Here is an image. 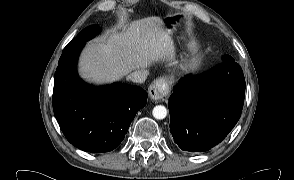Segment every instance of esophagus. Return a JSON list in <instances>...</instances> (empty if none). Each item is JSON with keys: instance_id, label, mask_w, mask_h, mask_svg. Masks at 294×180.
<instances>
[{"instance_id": "esophagus-1", "label": "esophagus", "mask_w": 294, "mask_h": 180, "mask_svg": "<svg viewBox=\"0 0 294 180\" xmlns=\"http://www.w3.org/2000/svg\"><path fill=\"white\" fill-rule=\"evenodd\" d=\"M171 78L163 76L158 78L149 87V96L152 100L163 101L170 92Z\"/></svg>"}]
</instances>
